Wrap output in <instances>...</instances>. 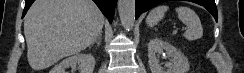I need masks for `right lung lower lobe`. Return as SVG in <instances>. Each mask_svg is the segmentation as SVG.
<instances>
[{"mask_svg":"<svg viewBox=\"0 0 244 73\" xmlns=\"http://www.w3.org/2000/svg\"><path fill=\"white\" fill-rule=\"evenodd\" d=\"M34 1L35 0H25V8L23 11L22 18L25 16L27 10L29 9V7ZM93 1L97 4L99 9L108 18L109 22L111 23L113 21L114 9L117 0H93Z\"/></svg>","mask_w":244,"mask_h":73,"instance_id":"obj_1","label":"right lung lower lobe"}]
</instances>
